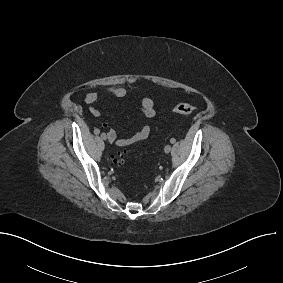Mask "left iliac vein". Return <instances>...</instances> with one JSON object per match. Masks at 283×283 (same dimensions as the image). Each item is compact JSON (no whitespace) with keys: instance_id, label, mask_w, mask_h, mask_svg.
Masks as SVG:
<instances>
[{"instance_id":"4c4485c4","label":"left iliac vein","mask_w":283,"mask_h":283,"mask_svg":"<svg viewBox=\"0 0 283 283\" xmlns=\"http://www.w3.org/2000/svg\"><path fill=\"white\" fill-rule=\"evenodd\" d=\"M171 151V145H166L164 148L165 153H169Z\"/></svg>"}]
</instances>
